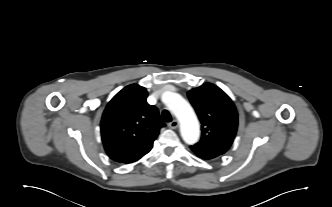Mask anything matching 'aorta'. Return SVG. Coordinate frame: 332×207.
Instances as JSON below:
<instances>
[{"mask_svg":"<svg viewBox=\"0 0 332 207\" xmlns=\"http://www.w3.org/2000/svg\"><path fill=\"white\" fill-rule=\"evenodd\" d=\"M164 102L179 120L183 140L189 145L196 143L200 135V126L191 105L181 95L172 92L166 94Z\"/></svg>","mask_w":332,"mask_h":207,"instance_id":"1","label":"aorta"}]
</instances>
